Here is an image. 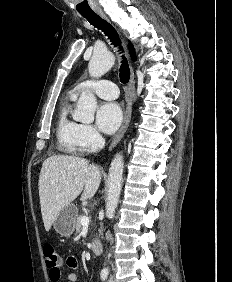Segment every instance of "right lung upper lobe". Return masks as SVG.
Returning a JSON list of instances; mask_svg holds the SVG:
<instances>
[{
    "mask_svg": "<svg viewBox=\"0 0 232 282\" xmlns=\"http://www.w3.org/2000/svg\"><path fill=\"white\" fill-rule=\"evenodd\" d=\"M129 52H130L132 60H135V58H136L135 57V52H134L133 45L131 43H129Z\"/></svg>",
    "mask_w": 232,
    "mask_h": 282,
    "instance_id": "right-lung-upper-lobe-1",
    "label": "right lung upper lobe"
}]
</instances>
